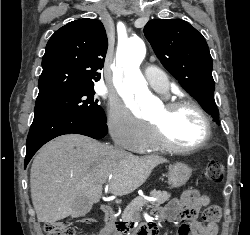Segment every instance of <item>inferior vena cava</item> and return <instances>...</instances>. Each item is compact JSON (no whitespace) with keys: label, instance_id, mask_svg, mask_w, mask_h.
<instances>
[{"label":"inferior vena cava","instance_id":"1","mask_svg":"<svg viewBox=\"0 0 250 235\" xmlns=\"http://www.w3.org/2000/svg\"><path fill=\"white\" fill-rule=\"evenodd\" d=\"M114 149H115L116 151L124 152L121 148H119V147H117V146H115Z\"/></svg>","mask_w":250,"mask_h":235}]
</instances>
